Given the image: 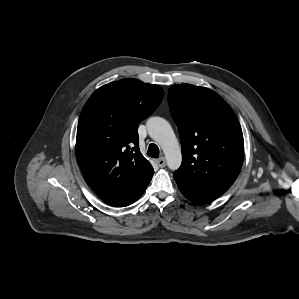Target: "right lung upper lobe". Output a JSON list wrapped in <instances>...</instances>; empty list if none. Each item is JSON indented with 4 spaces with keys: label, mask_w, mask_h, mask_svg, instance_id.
Returning <instances> with one entry per match:
<instances>
[{
    "label": "right lung upper lobe",
    "mask_w": 299,
    "mask_h": 299,
    "mask_svg": "<svg viewBox=\"0 0 299 299\" xmlns=\"http://www.w3.org/2000/svg\"><path fill=\"white\" fill-rule=\"evenodd\" d=\"M163 96L159 85L122 79L97 89L84 105L76 158L86 182L104 202L128 200L150 183L154 170L140 153L138 125Z\"/></svg>",
    "instance_id": "1"
}]
</instances>
